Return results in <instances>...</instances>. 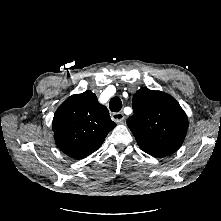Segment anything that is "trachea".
Returning a JSON list of instances; mask_svg holds the SVG:
<instances>
[{
	"label": "trachea",
	"instance_id": "trachea-1",
	"mask_svg": "<svg viewBox=\"0 0 221 221\" xmlns=\"http://www.w3.org/2000/svg\"><path fill=\"white\" fill-rule=\"evenodd\" d=\"M109 107L112 112H119L122 108V101L119 97H113L109 102Z\"/></svg>",
	"mask_w": 221,
	"mask_h": 221
}]
</instances>
